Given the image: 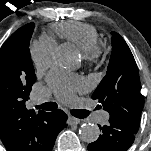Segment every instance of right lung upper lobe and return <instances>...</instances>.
<instances>
[{"label":"right lung upper lobe","mask_w":151,"mask_h":151,"mask_svg":"<svg viewBox=\"0 0 151 151\" xmlns=\"http://www.w3.org/2000/svg\"><path fill=\"white\" fill-rule=\"evenodd\" d=\"M31 88L0 92V138L7 151H47L48 113L26 108Z\"/></svg>","instance_id":"1"}]
</instances>
